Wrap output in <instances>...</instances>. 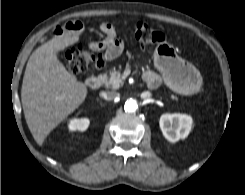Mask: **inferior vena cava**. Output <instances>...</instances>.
Returning <instances> with one entry per match:
<instances>
[{
  "instance_id": "obj_1",
  "label": "inferior vena cava",
  "mask_w": 245,
  "mask_h": 195,
  "mask_svg": "<svg viewBox=\"0 0 245 195\" xmlns=\"http://www.w3.org/2000/svg\"><path fill=\"white\" fill-rule=\"evenodd\" d=\"M100 96L105 100H114L115 98L119 97V93L116 91H107L101 92Z\"/></svg>"
}]
</instances>
